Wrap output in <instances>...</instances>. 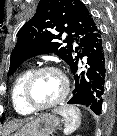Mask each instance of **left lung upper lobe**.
<instances>
[{
  "label": "left lung upper lobe",
  "mask_w": 117,
  "mask_h": 136,
  "mask_svg": "<svg viewBox=\"0 0 117 136\" xmlns=\"http://www.w3.org/2000/svg\"><path fill=\"white\" fill-rule=\"evenodd\" d=\"M99 30L97 21L81 1L40 0L35 15L17 33L8 75L26 59L46 53H55L71 67L82 54L87 37Z\"/></svg>",
  "instance_id": "left-lung-upper-lobe-1"
}]
</instances>
